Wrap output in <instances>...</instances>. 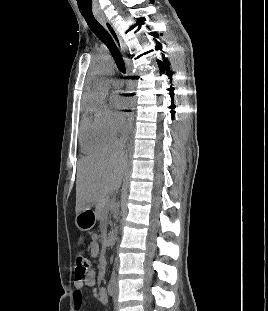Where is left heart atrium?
Returning <instances> with one entry per match:
<instances>
[{
  "label": "left heart atrium",
  "instance_id": "obj_1",
  "mask_svg": "<svg viewBox=\"0 0 268 311\" xmlns=\"http://www.w3.org/2000/svg\"><path fill=\"white\" fill-rule=\"evenodd\" d=\"M113 104L115 107L120 108V109H125L128 108L130 105V101L127 99H123L120 96H114L112 98Z\"/></svg>",
  "mask_w": 268,
  "mask_h": 311
}]
</instances>
